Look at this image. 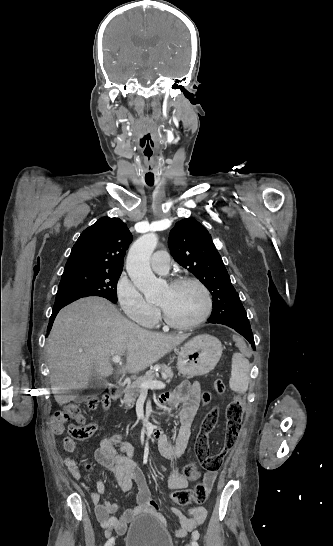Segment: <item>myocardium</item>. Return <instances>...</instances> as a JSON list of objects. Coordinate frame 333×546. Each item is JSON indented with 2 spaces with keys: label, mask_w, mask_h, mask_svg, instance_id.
I'll use <instances>...</instances> for the list:
<instances>
[{
  "label": "myocardium",
  "mask_w": 333,
  "mask_h": 546,
  "mask_svg": "<svg viewBox=\"0 0 333 546\" xmlns=\"http://www.w3.org/2000/svg\"><path fill=\"white\" fill-rule=\"evenodd\" d=\"M184 284L195 285L201 290V292H202V294L204 296V307H203V310H202L201 314L199 315V317L197 319H195L194 321L189 322V323H180V322H177V321L173 320L166 313V311L162 307H160V310H161V313H162V319H163L164 323L167 326H169V327H171L173 329H176V330H192V329L197 328L198 326L203 324L208 319V317L210 316V314L212 312V308H213L212 295H211L208 287L201 280H199L198 278L191 277V276L178 277V278L174 279L170 283V286L172 288H177V287H179L181 285H184Z\"/></svg>",
  "instance_id": "f54148a6"
}]
</instances>
